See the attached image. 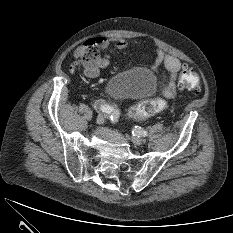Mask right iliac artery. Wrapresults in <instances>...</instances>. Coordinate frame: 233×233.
Here are the masks:
<instances>
[{"label":"right iliac artery","mask_w":233,"mask_h":233,"mask_svg":"<svg viewBox=\"0 0 233 233\" xmlns=\"http://www.w3.org/2000/svg\"><path fill=\"white\" fill-rule=\"evenodd\" d=\"M94 106L99 108L104 114H106L107 117H110L111 119H117L119 117V110L115 106L105 103L103 100H96L94 102Z\"/></svg>","instance_id":"obj_1"}]
</instances>
